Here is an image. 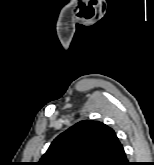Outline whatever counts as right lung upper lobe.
I'll list each match as a JSON object with an SVG mask.
<instances>
[{"label": "right lung upper lobe", "mask_w": 154, "mask_h": 165, "mask_svg": "<svg viewBox=\"0 0 154 165\" xmlns=\"http://www.w3.org/2000/svg\"><path fill=\"white\" fill-rule=\"evenodd\" d=\"M120 142L113 129L91 120L80 121L60 134L38 165H109Z\"/></svg>", "instance_id": "right-lung-upper-lobe-1"}]
</instances>
